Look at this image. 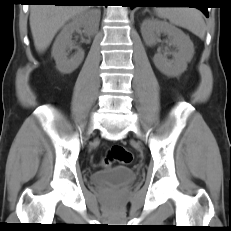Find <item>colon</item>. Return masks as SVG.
<instances>
[{
  "instance_id": "colon-1",
  "label": "colon",
  "mask_w": 231,
  "mask_h": 231,
  "mask_svg": "<svg viewBox=\"0 0 231 231\" xmlns=\"http://www.w3.org/2000/svg\"><path fill=\"white\" fill-rule=\"evenodd\" d=\"M133 160L132 153L121 145H114L110 148L107 156L103 159V165L108 167L112 163L129 164Z\"/></svg>"
}]
</instances>
